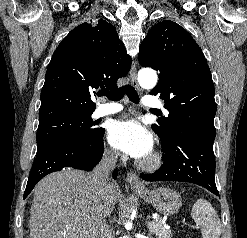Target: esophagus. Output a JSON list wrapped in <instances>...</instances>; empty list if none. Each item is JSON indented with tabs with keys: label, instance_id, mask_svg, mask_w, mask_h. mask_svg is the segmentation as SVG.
I'll use <instances>...</instances> for the list:
<instances>
[{
	"label": "esophagus",
	"instance_id": "obj_1",
	"mask_svg": "<svg viewBox=\"0 0 247 238\" xmlns=\"http://www.w3.org/2000/svg\"><path fill=\"white\" fill-rule=\"evenodd\" d=\"M130 79H131L132 85L137 90H140V87H139L138 81H137V69H136V62L135 61H133L132 65H131ZM126 180L131 186L138 188V189H144L143 183L140 181L139 177L135 173H133L132 171L127 172Z\"/></svg>",
	"mask_w": 247,
	"mask_h": 238
}]
</instances>
